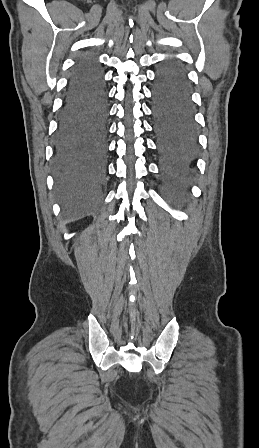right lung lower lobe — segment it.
<instances>
[{
  "instance_id": "1",
  "label": "right lung lower lobe",
  "mask_w": 259,
  "mask_h": 448,
  "mask_svg": "<svg viewBox=\"0 0 259 448\" xmlns=\"http://www.w3.org/2000/svg\"><path fill=\"white\" fill-rule=\"evenodd\" d=\"M108 96L101 64L82 56L69 78L54 136L53 168L63 186H97L106 174Z\"/></svg>"
}]
</instances>
